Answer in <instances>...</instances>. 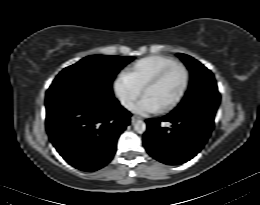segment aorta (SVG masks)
Returning a JSON list of instances; mask_svg holds the SVG:
<instances>
[{
  "instance_id": "762f6f07",
  "label": "aorta",
  "mask_w": 260,
  "mask_h": 205,
  "mask_svg": "<svg viewBox=\"0 0 260 205\" xmlns=\"http://www.w3.org/2000/svg\"><path fill=\"white\" fill-rule=\"evenodd\" d=\"M134 126V130L139 133L142 134L146 131V124L144 121L142 120H137L133 123Z\"/></svg>"
}]
</instances>
